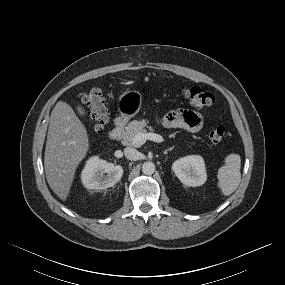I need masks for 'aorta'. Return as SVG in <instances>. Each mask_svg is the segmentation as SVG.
Here are the masks:
<instances>
[{"mask_svg":"<svg viewBox=\"0 0 285 285\" xmlns=\"http://www.w3.org/2000/svg\"><path fill=\"white\" fill-rule=\"evenodd\" d=\"M142 172L145 175H152L155 172V164L151 161L144 162L142 165Z\"/></svg>","mask_w":285,"mask_h":285,"instance_id":"762f6f07","label":"aorta"}]
</instances>
